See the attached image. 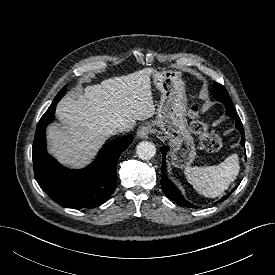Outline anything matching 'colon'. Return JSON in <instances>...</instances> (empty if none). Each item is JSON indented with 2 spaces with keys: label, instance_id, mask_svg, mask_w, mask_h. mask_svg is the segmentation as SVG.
Here are the masks:
<instances>
[{
  "label": "colon",
  "instance_id": "1",
  "mask_svg": "<svg viewBox=\"0 0 275 275\" xmlns=\"http://www.w3.org/2000/svg\"><path fill=\"white\" fill-rule=\"evenodd\" d=\"M189 116L192 119L191 128L198 135L202 147L207 151H218L222 146V139L218 132L210 129L209 125L200 119V114L196 107L190 109Z\"/></svg>",
  "mask_w": 275,
  "mask_h": 275
}]
</instances>
